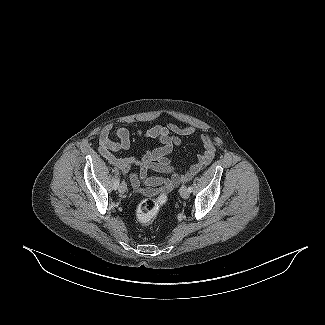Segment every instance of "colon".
I'll use <instances>...</instances> for the list:
<instances>
[{"label": "colon", "mask_w": 325, "mask_h": 325, "mask_svg": "<svg viewBox=\"0 0 325 325\" xmlns=\"http://www.w3.org/2000/svg\"><path fill=\"white\" fill-rule=\"evenodd\" d=\"M168 189L169 185L167 184L155 198L148 197L139 204L136 211V218L139 223L146 225L158 215L162 206L167 202ZM144 193L151 196L154 194V191L152 189H147Z\"/></svg>", "instance_id": "obj_1"}]
</instances>
